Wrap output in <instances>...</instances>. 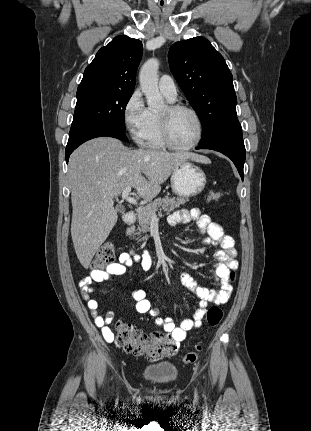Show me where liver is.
Instances as JSON below:
<instances>
[{"label":"liver","instance_id":"6515ba94","mask_svg":"<svg viewBox=\"0 0 311 431\" xmlns=\"http://www.w3.org/2000/svg\"><path fill=\"white\" fill-rule=\"evenodd\" d=\"M189 160L211 164L209 158L193 152L128 150L115 138H95L77 148L70 156L68 180L71 235L81 265L88 269L118 219L113 198L125 188H134L143 200H154L161 184Z\"/></svg>","mask_w":311,"mask_h":431}]
</instances>
